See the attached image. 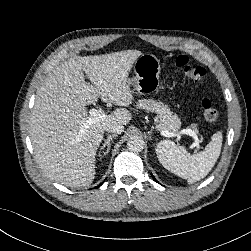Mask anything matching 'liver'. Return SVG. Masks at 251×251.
<instances>
[{
    "label": "liver",
    "instance_id": "liver-1",
    "mask_svg": "<svg viewBox=\"0 0 251 251\" xmlns=\"http://www.w3.org/2000/svg\"><path fill=\"white\" fill-rule=\"evenodd\" d=\"M126 50L104 55L75 56L57 66L36 94L30 138L35 158L47 175L68 187H87L95 175V156L107 124L127 125L132 115L117 108L88 127L86 106L97 101L127 107L133 95L127 79L141 55ZM85 72L91 85L84 80Z\"/></svg>",
    "mask_w": 251,
    "mask_h": 251
}]
</instances>
